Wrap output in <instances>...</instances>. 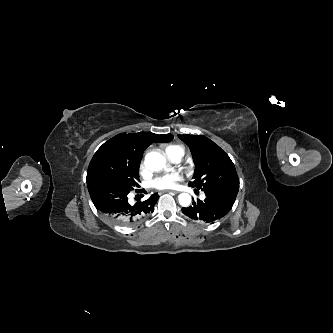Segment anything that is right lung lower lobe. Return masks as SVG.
I'll return each instance as SVG.
<instances>
[{"instance_id": "obj_1", "label": "right lung lower lobe", "mask_w": 333, "mask_h": 333, "mask_svg": "<svg viewBox=\"0 0 333 333\" xmlns=\"http://www.w3.org/2000/svg\"><path fill=\"white\" fill-rule=\"evenodd\" d=\"M90 197L98 211L108 220L123 227L133 226L154 211L159 195H151L145 201L129 204L128 194L131 191L146 193L141 189H128L115 182L104 179L87 181Z\"/></svg>"}]
</instances>
